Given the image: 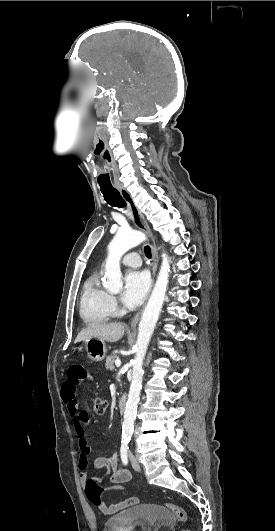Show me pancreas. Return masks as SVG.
Masks as SVG:
<instances>
[{
  "label": "pancreas",
  "instance_id": "pancreas-1",
  "mask_svg": "<svg viewBox=\"0 0 275 531\" xmlns=\"http://www.w3.org/2000/svg\"><path fill=\"white\" fill-rule=\"evenodd\" d=\"M116 359H118L116 353H112V355H109V357H106L105 367H106L107 371H113L114 363H115Z\"/></svg>",
  "mask_w": 275,
  "mask_h": 531
}]
</instances>
